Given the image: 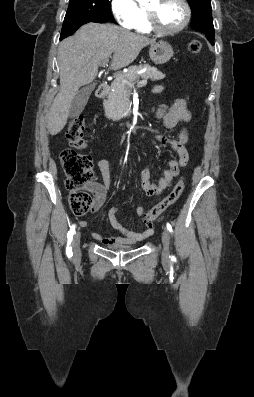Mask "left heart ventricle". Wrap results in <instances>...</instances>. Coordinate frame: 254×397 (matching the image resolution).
<instances>
[{
    "label": "left heart ventricle",
    "instance_id": "obj_1",
    "mask_svg": "<svg viewBox=\"0 0 254 397\" xmlns=\"http://www.w3.org/2000/svg\"><path fill=\"white\" fill-rule=\"evenodd\" d=\"M147 7L154 12L162 28H175L183 20L184 9L177 0H151Z\"/></svg>",
    "mask_w": 254,
    "mask_h": 397
}]
</instances>
